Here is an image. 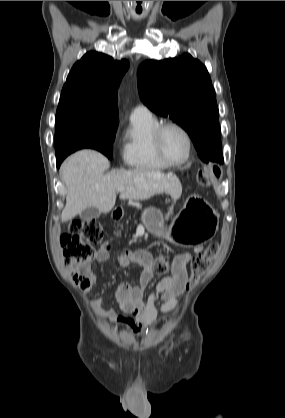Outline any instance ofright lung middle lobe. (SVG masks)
I'll return each mask as SVG.
<instances>
[{
	"instance_id": "obj_1",
	"label": "right lung middle lobe",
	"mask_w": 285,
	"mask_h": 418,
	"mask_svg": "<svg viewBox=\"0 0 285 418\" xmlns=\"http://www.w3.org/2000/svg\"><path fill=\"white\" fill-rule=\"evenodd\" d=\"M118 120L107 114L75 108L57 109L55 118L56 159L82 148H92L112 158Z\"/></svg>"
}]
</instances>
